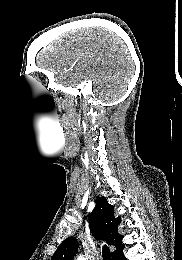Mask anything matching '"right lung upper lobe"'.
<instances>
[{
    "instance_id": "obj_1",
    "label": "right lung upper lobe",
    "mask_w": 182,
    "mask_h": 260,
    "mask_svg": "<svg viewBox=\"0 0 182 260\" xmlns=\"http://www.w3.org/2000/svg\"><path fill=\"white\" fill-rule=\"evenodd\" d=\"M114 207L105 197L96 199V206L90 213L89 221L92 234L96 239L105 240L109 245H114L116 250L112 256L123 250V235L118 233L121 218H115ZM78 252V241L74 237L65 239L53 254L51 260H72Z\"/></svg>"
}]
</instances>
